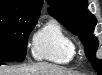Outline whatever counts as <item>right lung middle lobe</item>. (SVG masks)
Wrapping results in <instances>:
<instances>
[{
  "label": "right lung middle lobe",
  "mask_w": 102,
  "mask_h": 75,
  "mask_svg": "<svg viewBox=\"0 0 102 75\" xmlns=\"http://www.w3.org/2000/svg\"><path fill=\"white\" fill-rule=\"evenodd\" d=\"M39 15L0 12V62H21L26 56L27 39Z\"/></svg>",
  "instance_id": "dd1d6c3e"
}]
</instances>
